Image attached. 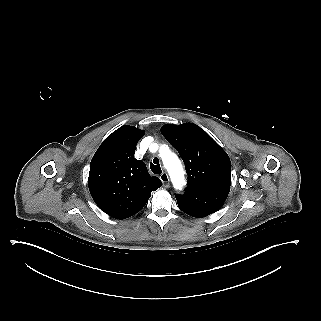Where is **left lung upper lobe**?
<instances>
[{
	"label": "left lung upper lobe",
	"instance_id": "obj_1",
	"mask_svg": "<svg viewBox=\"0 0 321 321\" xmlns=\"http://www.w3.org/2000/svg\"><path fill=\"white\" fill-rule=\"evenodd\" d=\"M161 132L185 163L188 174L186 190L230 189L229 156L203 129L193 123L167 124Z\"/></svg>",
	"mask_w": 321,
	"mask_h": 321
}]
</instances>
